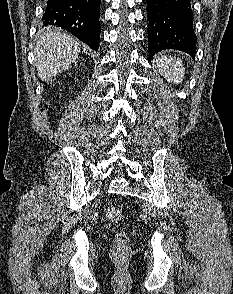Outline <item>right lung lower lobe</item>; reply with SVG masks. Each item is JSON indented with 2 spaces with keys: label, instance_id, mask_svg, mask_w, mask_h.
Masks as SVG:
<instances>
[{
  "label": "right lung lower lobe",
  "instance_id": "right-lung-lower-lobe-1",
  "mask_svg": "<svg viewBox=\"0 0 233 294\" xmlns=\"http://www.w3.org/2000/svg\"><path fill=\"white\" fill-rule=\"evenodd\" d=\"M101 0H48L43 26L61 27L98 50L100 40L99 7Z\"/></svg>",
  "mask_w": 233,
  "mask_h": 294
}]
</instances>
